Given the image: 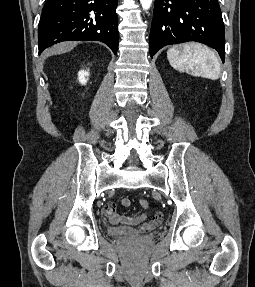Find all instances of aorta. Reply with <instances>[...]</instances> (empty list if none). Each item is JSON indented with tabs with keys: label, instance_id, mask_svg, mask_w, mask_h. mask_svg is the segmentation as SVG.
Here are the masks:
<instances>
[{
	"label": "aorta",
	"instance_id": "1",
	"mask_svg": "<svg viewBox=\"0 0 255 287\" xmlns=\"http://www.w3.org/2000/svg\"><path fill=\"white\" fill-rule=\"evenodd\" d=\"M143 9H149L151 6L152 0H140Z\"/></svg>",
	"mask_w": 255,
	"mask_h": 287
}]
</instances>
